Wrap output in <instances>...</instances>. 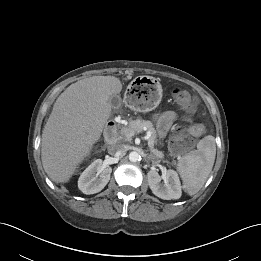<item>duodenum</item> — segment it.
Segmentation results:
<instances>
[{
  "instance_id": "1",
  "label": "duodenum",
  "mask_w": 261,
  "mask_h": 261,
  "mask_svg": "<svg viewBox=\"0 0 261 261\" xmlns=\"http://www.w3.org/2000/svg\"><path fill=\"white\" fill-rule=\"evenodd\" d=\"M104 133L109 144H114L116 142L117 126L112 120L108 121V123L106 124Z\"/></svg>"
}]
</instances>
